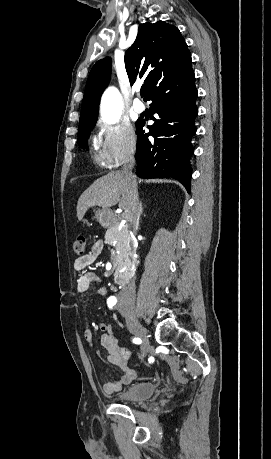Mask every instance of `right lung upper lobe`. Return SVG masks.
<instances>
[{
  "label": "right lung upper lobe",
  "instance_id": "1",
  "mask_svg": "<svg viewBox=\"0 0 271 459\" xmlns=\"http://www.w3.org/2000/svg\"><path fill=\"white\" fill-rule=\"evenodd\" d=\"M125 68L132 84L143 79L146 98L171 77L192 71V59L177 27L164 21L142 23L133 45L125 53ZM111 59L95 63L87 79L80 121L97 119L100 97L110 80Z\"/></svg>",
  "mask_w": 271,
  "mask_h": 459
}]
</instances>
